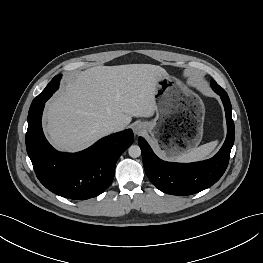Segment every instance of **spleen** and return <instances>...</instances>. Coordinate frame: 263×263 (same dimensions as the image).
I'll return each mask as SVG.
<instances>
[{"mask_svg":"<svg viewBox=\"0 0 263 263\" xmlns=\"http://www.w3.org/2000/svg\"><path fill=\"white\" fill-rule=\"evenodd\" d=\"M217 145V140L203 144L197 148L191 149L190 151H187L177 156L175 158V161L180 163H191L204 160L210 156V154L214 151Z\"/></svg>","mask_w":263,"mask_h":263,"instance_id":"spleen-1","label":"spleen"}]
</instances>
